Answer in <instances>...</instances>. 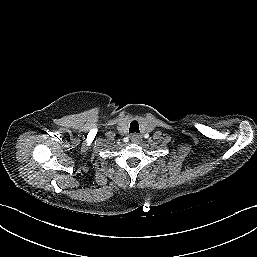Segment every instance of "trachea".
<instances>
[{
    "label": "trachea",
    "instance_id": "1",
    "mask_svg": "<svg viewBox=\"0 0 257 257\" xmlns=\"http://www.w3.org/2000/svg\"><path fill=\"white\" fill-rule=\"evenodd\" d=\"M129 133H139V124L137 121H132L130 123Z\"/></svg>",
    "mask_w": 257,
    "mask_h": 257
}]
</instances>
